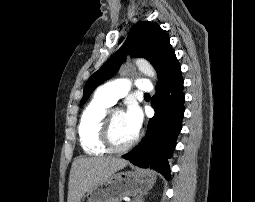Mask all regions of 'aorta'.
Returning a JSON list of instances; mask_svg holds the SVG:
<instances>
[{"instance_id":"aorta-1","label":"aorta","mask_w":255,"mask_h":202,"mask_svg":"<svg viewBox=\"0 0 255 202\" xmlns=\"http://www.w3.org/2000/svg\"><path fill=\"white\" fill-rule=\"evenodd\" d=\"M135 64L138 67V69L146 76L153 79L157 78L155 69L147 60L138 58L135 60Z\"/></svg>"}]
</instances>
